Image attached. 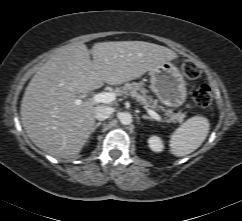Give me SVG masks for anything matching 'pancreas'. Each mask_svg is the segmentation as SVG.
I'll return each instance as SVG.
<instances>
[{"mask_svg": "<svg viewBox=\"0 0 242 221\" xmlns=\"http://www.w3.org/2000/svg\"><path fill=\"white\" fill-rule=\"evenodd\" d=\"M115 91L118 95L132 96L136 98L139 102L144 104L146 108L163 111L165 116L169 118L170 122H182L185 118V114L181 112L173 113L171 109L166 110L163 106L158 105V101L153 99L149 94V91L144 88L143 82L126 83L123 87L116 88Z\"/></svg>", "mask_w": 242, "mask_h": 221, "instance_id": "1", "label": "pancreas"}]
</instances>
